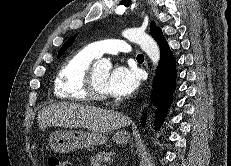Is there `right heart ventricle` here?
Wrapping results in <instances>:
<instances>
[{"instance_id": "1", "label": "right heart ventricle", "mask_w": 231, "mask_h": 166, "mask_svg": "<svg viewBox=\"0 0 231 166\" xmlns=\"http://www.w3.org/2000/svg\"><path fill=\"white\" fill-rule=\"evenodd\" d=\"M96 58L98 57L89 46L81 48L67 57L56 74L53 86L54 95L61 100H88L85 79Z\"/></svg>"}]
</instances>
